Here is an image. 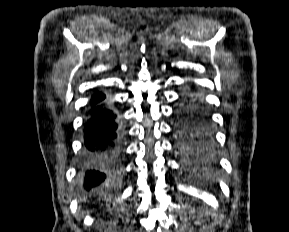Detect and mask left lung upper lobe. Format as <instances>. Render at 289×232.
<instances>
[{
    "instance_id": "1",
    "label": "left lung upper lobe",
    "mask_w": 289,
    "mask_h": 232,
    "mask_svg": "<svg viewBox=\"0 0 289 232\" xmlns=\"http://www.w3.org/2000/svg\"><path fill=\"white\" fill-rule=\"evenodd\" d=\"M180 147L194 153H208L213 148V138L202 133L199 126L194 123L187 113L182 115L178 126Z\"/></svg>"
}]
</instances>
